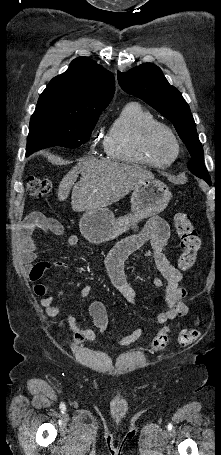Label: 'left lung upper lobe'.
Listing matches in <instances>:
<instances>
[{
  "label": "left lung upper lobe",
  "mask_w": 221,
  "mask_h": 455,
  "mask_svg": "<svg viewBox=\"0 0 221 455\" xmlns=\"http://www.w3.org/2000/svg\"><path fill=\"white\" fill-rule=\"evenodd\" d=\"M117 75L125 92L142 99L173 123L190 152L189 170L209 182L210 177L203 162V147L190 108L181 93L168 83L161 69L154 64L144 63L128 73L118 71Z\"/></svg>",
  "instance_id": "5c2ea615"
}]
</instances>
